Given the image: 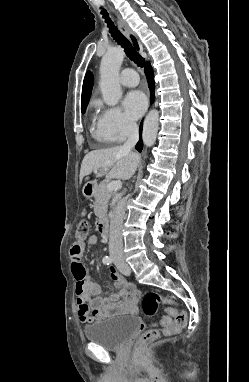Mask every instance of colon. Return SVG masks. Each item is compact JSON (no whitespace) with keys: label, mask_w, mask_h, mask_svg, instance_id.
Masks as SVG:
<instances>
[{"label":"colon","mask_w":249,"mask_h":382,"mask_svg":"<svg viewBox=\"0 0 249 382\" xmlns=\"http://www.w3.org/2000/svg\"><path fill=\"white\" fill-rule=\"evenodd\" d=\"M89 234V224L87 221L82 220L79 222L76 230V239L78 242L86 240ZM170 304L171 300L162 297L157 292L149 291L144 294L142 299V310L148 317H152L156 314L160 304ZM165 316L161 321V329L153 328L144 332L138 339V350L142 347L152 343L162 334L171 335L180 331L186 326L187 315L184 311H177L172 307H167L165 310ZM171 317H174L172 322Z\"/></svg>","instance_id":"1"}]
</instances>
